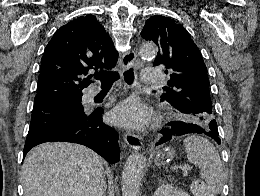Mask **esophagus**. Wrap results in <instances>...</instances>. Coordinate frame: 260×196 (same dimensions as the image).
<instances>
[{
	"label": "esophagus",
	"instance_id": "obj_1",
	"mask_svg": "<svg viewBox=\"0 0 260 196\" xmlns=\"http://www.w3.org/2000/svg\"><path fill=\"white\" fill-rule=\"evenodd\" d=\"M136 59V52L135 50H129L122 54L121 56V63L124 70L130 69L133 67L134 62ZM124 140L128 144V146L133 150H139L142 148L143 143L140 136L134 133H125Z\"/></svg>",
	"mask_w": 260,
	"mask_h": 196
}]
</instances>
